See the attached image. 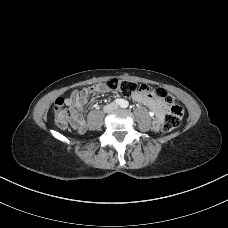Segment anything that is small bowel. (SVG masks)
<instances>
[{
	"label": "small bowel",
	"instance_id": "1",
	"mask_svg": "<svg viewBox=\"0 0 228 228\" xmlns=\"http://www.w3.org/2000/svg\"><path fill=\"white\" fill-rule=\"evenodd\" d=\"M107 89L102 87L101 85H90L81 90H74L70 97L65 99V104L73 109L76 114V119L74 122V127L78 132H83L85 129V121L79 115L84 104L87 102V97L89 94L94 92H105ZM132 98L142 103L154 112V128L158 130L162 124L164 115H165V107L162 102L152 94L134 92L132 93Z\"/></svg>",
	"mask_w": 228,
	"mask_h": 228
}]
</instances>
